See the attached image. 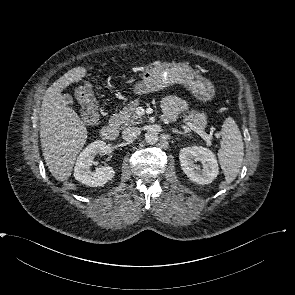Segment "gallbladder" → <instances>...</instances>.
Segmentation results:
<instances>
[{
    "label": "gallbladder",
    "mask_w": 295,
    "mask_h": 295,
    "mask_svg": "<svg viewBox=\"0 0 295 295\" xmlns=\"http://www.w3.org/2000/svg\"><path fill=\"white\" fill-rule=\"evenodd\" d=\"M64 99H65V101L67 102V103H69V104H73V97L70 95V94H65L64 95Z\"/></svg>",
    "instance_id": "obj_1"
}]
</instances>
